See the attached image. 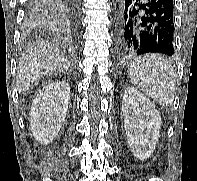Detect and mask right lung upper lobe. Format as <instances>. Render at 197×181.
I'll return each mask as SVG.
<instances>
[{"mask_svg":"<svg viewBox=\"0 0 197 181\" xmlns=\"http://www.w3.org/2000/svg\"><path fill=\"white\" fill-rule=\"evenodd\" d=\"M34 27H38L39 28V26H34ZM41 28H43V27H41ZM45 29H49V28H45Z\"/></svg>","mask_w":197,"mask_h":181,"instance_id":"cb5924a9","label":"right lung upper lobe"}]
</instances>
